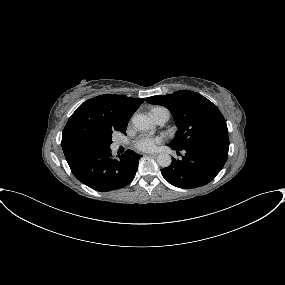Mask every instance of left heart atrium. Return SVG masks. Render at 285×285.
Listing matches in <instances>:
<instances>
[{
	"mask_svg": "<svg viewBox=\"0 0 285 285\" xmlns=\"http://www.w3.org/2000/svg\"><path fill=\"white\" fill-rule=\"evenodd\" d=\"M161 142L159 137L142 135L135 141V148L142 151H151Z\"/></svg>",
	"mask_w": 285,
	"mask_h": 285,
	"instance_id": "1",
	"label": "left heart atrium"
}]
</instances>
